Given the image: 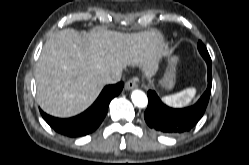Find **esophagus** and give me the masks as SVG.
I'll return each mask as SVG.
<instances>
[{"mask_svg": "<svg viewBox=\"0 0 249 165\" xmlns=\"http://www.w3.org/2000/svg\"><path fill=\"white\" fill-rule=\"evenodd\" d=\"M137 87V83L135 80L130 79L125 83V89L126 90H132Z\"/></svg>", "mask_w": 249, "mask_h": 165, "instance_id": "1", "label": "esophagus"}]
</instances>
